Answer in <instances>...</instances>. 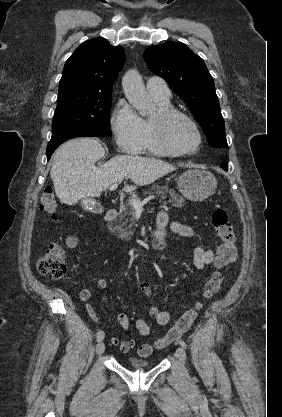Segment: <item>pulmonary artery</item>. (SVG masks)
Segmentation results:
<instances>
[{"instance_id":"pulmonary-artery-1","label":"pulmonary artery","mask_w":282,"mask_h":417,"mask_svg":"<svg viewBox=\"0 0 282 417\" xmlns=\"http://www.w3.org/2000/svg\"><path fill=\"white\" fill-rule=\"evenodd\" d=\"M148 93L154 100L168 102L171 97V91L167 83L160 77H151L146 82Z\"/></svg>"}]
</instances>
